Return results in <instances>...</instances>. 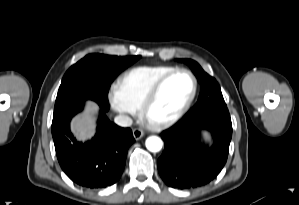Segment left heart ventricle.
<instances>
[{"label":"left heart ventricle","mask_w":299,"mask_h":205,"mask_svg":"<svg viewBox=\"0 0 299 205\" xmlns=\"http://www.w3.org/2000/svg\"><path fill=\"white\" fill-rule=\"evenodd\" d=\"M192 90L189 75L179 73L170 78L159 93L149 112L151 120H159L171 116L186 102Z\"/></svg>","instance_id":"obj_1"}]
</instances>
